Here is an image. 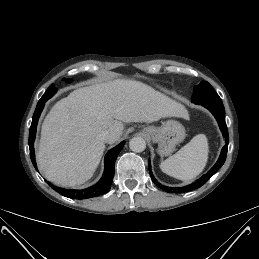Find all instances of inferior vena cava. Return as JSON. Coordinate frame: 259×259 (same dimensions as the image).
<instances>
[{
  "mask_svg": "<svg viewBox=\"0 0 259 259\" xmlns=\"http://www.w3.org/2000/svg\"><path fill=\"white\" fill-rule=\"evenodd\" d=\"M98 138L104 142H107L110 138L109 131H104L98 135Z\"/></svg>",
  "mask_w": 259,
  "mask_h": 259,
  "instance_id": "obj_1",
  "label": "inferior vena cava"
}]
</instances>
